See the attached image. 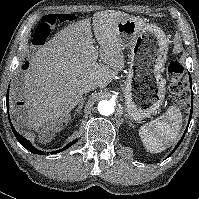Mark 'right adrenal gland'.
Returning a JSON list of instances; mask_svg holds the SVG:
<instances>
[{
    "instance_id": "right-adrenal-gland-1",
    "label": "right adrenal gland",
    "mask_w": 199,
    "mask_h": 199,
    "mask_svg": "<svg viewBox=\"0 0 199 199\" xmlns=\"http://www.w3.org/2000/svg\"><path fill=\"white\" fill-rule=\"evenodd\" d=\"M84 100H85V97L81 99V101H80L78 107L76 108V113H79L80 110L82 109V106H83V104H84ZM76 113H75V114H76Z\"/></svg>"
}]
</instances>
